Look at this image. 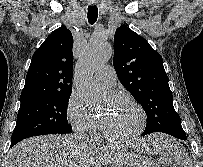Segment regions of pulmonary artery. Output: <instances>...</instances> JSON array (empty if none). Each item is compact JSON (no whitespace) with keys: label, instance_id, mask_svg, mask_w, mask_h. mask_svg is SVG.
<instances>
[{"label":"pulmonary artery","instance_id":"obj_1","mask_svg":"<svg viewBox=\"0 0 203 167\" xmlns=\"http://www.w3.org/2000/svg\"><path fill=\"white\" fill-rule=\"evenodd\" d=\"M116 80V73L112 66L106 65L100 67L94 76L95 84L101 89L111 88Z\"/></svg>","mask_w":203,"mask_h":167}]
</instances>
